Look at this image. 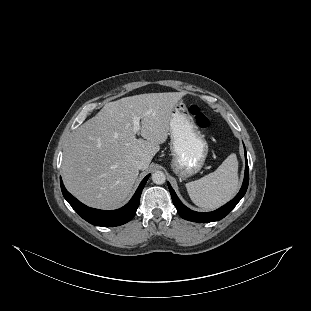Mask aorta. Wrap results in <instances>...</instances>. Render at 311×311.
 Returning <instances> with one entry per match:
<instances>
[{"label": "aorta", "instance_id": "1", "mask_svg": "<svg viewBox=\"0 0 311 311\" xmlns=\"http://www.w3.org/2000/svg\"><path fill=\"white\" fill-rule=\"evenodd\" d=\"M151 178L153 183L157 185H162L166 182V175L162 171H155L154 173H152Z\"/></svg>", "mask_w": 311, "mask_h": 311}]
</instances>
